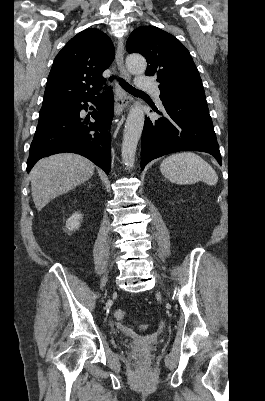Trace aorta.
Here are the masks:
<instances>
[{"instance_id":"762f6f07","label":"aorta","mask_w":265,"mask_h":401,"mask_svg":"<svg viewBox=\"0 0 265 401\" xmlns=\"http://www.w3.org/2000/svg\"><path fill=\"white\" fill-rule=\"evenodd\" d=\"M146 66L147 62L141 54H129L126 58V68L129 72H134V74H143L146 70ZM143 126L144 110L140 102H134L128 112L127 120L125 122L121 146L123 164H127V166H132L135 160L137 144L142 134Z\"/></svg>"}]
</instances>
